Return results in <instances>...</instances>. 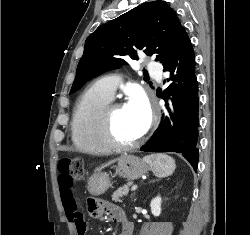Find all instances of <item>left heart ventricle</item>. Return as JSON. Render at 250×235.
<instances>
[{
    "label": "left heart ventricle",
    "mask_w": 250,
    "mask_h": 235,
    "mask_svg": "<svg viewBox=\"0 0 250 235\" xmlns=\"http://www.w3.org/2000/svg\"><path fill=\"white\" fill-rule=\"evenodd\" d=\"M113 127L116 138L123 143L136 141L142 135L135 117L126 106L116 111Z\"/></svg>",
    "instance_id": "b2bd125f"
}]
</instances>
